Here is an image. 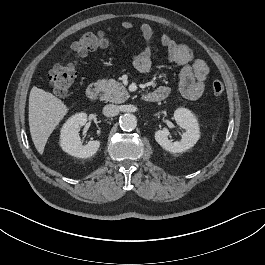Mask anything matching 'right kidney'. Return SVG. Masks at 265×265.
Instances as JSON below:
<instances>
[{
  "mask_svg": "<svg viewBox=\"0 0 265 265\" xmlns=\"http://www.w3.org/2000/svg\"><path fill=\"white\" fill-rule=\"evenodd\" d=\"M87 122L86 113H77L71 116L63 125L60 134V146L63 151L77 158L92 157L100 147V141H90L82 146L79 130Z\"/></svg>",
  "mask_w": 265,
  "mask_h": 265,
  "instance_id": "1",
  "label": "right kidney"
}]
</instances>
